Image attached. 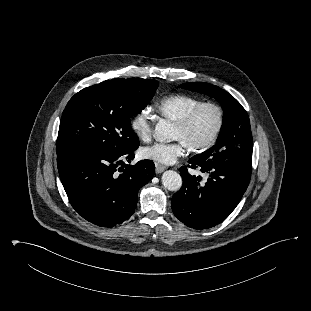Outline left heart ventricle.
Segmentation results:
<instances>
[{"instance_id": "obj_1", "label": "left heart ventricle", "mask_w": 311, "mask_h": 311, "mask_svg": "<svg viewBox=\"0 0 311 311\" xmlns=\"http://www.w3.org/2000/svg\"><path fill=\"white\" fill-rule=\"evenodd\" d=\"M216 121L217 116L215 111L205 109L187 131H183L176 126L174 139L183 141L187 146L202 143L213 132Z\"/></svg>"}]
</instances>
